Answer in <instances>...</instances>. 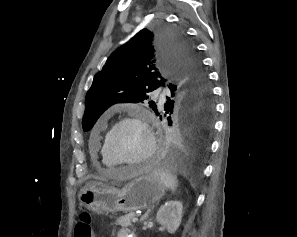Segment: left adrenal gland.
Listing matches in <instances>:
<instances>
[{
    "mask_svg": "<svg viewBox=\"0 0 297 237\" xmlns=\"http://www.w3.org/2000/svg\"><path fill=\"white\" fill-rule=\"evenodd\" d=\"M150 211H151L150 209L147 210V212L141 217L140 222L145 220L148 217Z\"/></svg>",
    "mask_w": 297,
    "mask_h": 237,
    "instance_id": "a2214340",
    "label": "left adrenal gland"
}]
</instances>
